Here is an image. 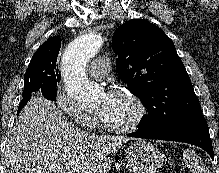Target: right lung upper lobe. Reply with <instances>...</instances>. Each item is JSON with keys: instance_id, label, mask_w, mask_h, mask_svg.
<instances>
[{"instance_id": "right-lung-upper-lobe-1", "label": "right lung upper lobe", "mask_w": 219, "mask_h": 173, "mask_svg": "<svg viewBox=\"0 0 219 173\" xmlns=\"http://www.w3.org/2000/svg\"><path fill=\"white\" fill-rule=\"evenodd\" d=\"M61 47V38L54 36L45 41L33 55L29 66L44 67L45 69H53L58 74V65H56L58 53Z\"/></svg>"}]
</instances>
